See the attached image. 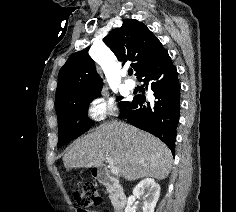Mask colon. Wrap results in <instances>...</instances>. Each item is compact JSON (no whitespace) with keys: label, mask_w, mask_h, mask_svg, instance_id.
<instances>
[{"label":"colon","mask_w":236,"mask_h":212,"mask_svg":"<svg viewBox=\"0 0 236 212\" xmlns=\"http://www.w3.org/2000/svg\"><path fill=\"white\" fill-rule=\"evenodd\" d=\"M73 198L83 208L82 212H89L88 208L96 207L101 203V197L96 186L92 182L85 180L79 182Z\"/></svg>","instance_id":"5ec220e1"}]
</instances>
